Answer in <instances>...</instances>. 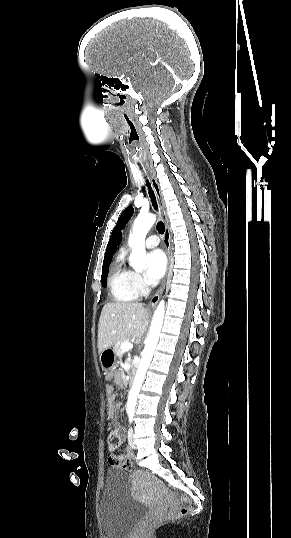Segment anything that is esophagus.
Segmentation results:
<instances>
[{"label":"esophagus","mask_w":291,"mask_h":538,"mask_svg":"<svg viewBox=\"0 0 291 538\" xmlns=\"http://www.w3.org/2000/svg\"><path fill=\"white\" fill-rule=\"evenodd\" d=\"M148 170H149L151 184H152V187H153L156 199H157L158 207H159L160 213H161V215L163 217V220H164V225H165L164 244H165V247H166L167 259H168L167 260L166 275H165L159 289L157 290V292L154 294V296L151 298V300L149 302V307L154 308L157 305V303L159 302V299H160L161 294H162V292H163V290L165 288L167 277H168V274H169V269H170V265H171V234H170V228H169L168 214H167L165 202H164L163 197H162L160 186H159L158 181H157L154 173L152 172V170L150 168H148Z\"/></svg>","instance_id":"1"}]
</instances>
